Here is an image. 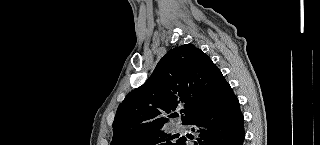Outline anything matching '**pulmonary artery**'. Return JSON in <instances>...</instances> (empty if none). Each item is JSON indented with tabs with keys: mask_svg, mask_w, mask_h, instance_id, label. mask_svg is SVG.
Here are the masks:
<instances>
[{
	"mask_svg": "<svg viewBox=\"0 0 320 145\" xmlns=\"http://www.w3.org/2000/svg\"><path fill=\"white\" fill-rule=\"evenodd\" d=\"M174 130L176 131V132H184V127L181 125V124H176L175 126H174Z\"/></svg>",
	"mask_w": 320,
	"mask_h": 145,
	"instance_id": "1",
	"label": "pulmonary artery"
}]
</instances>
